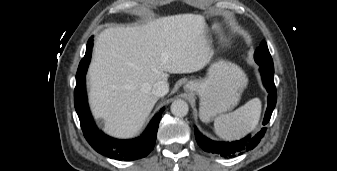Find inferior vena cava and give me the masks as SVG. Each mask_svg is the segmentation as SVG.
Instances as JSON below:
<instances>
[{
  "instance_id": "1",
  "label": "inferior vena cava",
  "mask_w": 337,
  "mask_h": 171,
  "mask_svg": "<svg viewBox=\"0 0 337 171\" xmlns=\"http://www.w3.org/2000/svg\"><path fill=\"white\" fill-rule=\"evenodd\" d=\"M169 91V85L166 81H158L152 87V93L156 97H162Z\"/></svg>"
}]
</instances>
